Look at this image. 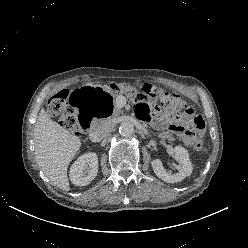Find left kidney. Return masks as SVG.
<instances>
[{
    "mask_svg": "<svg viewBox=\"0 0 248 248\" xmlns=\"http://www.w3.org/2000/svg\"><path fill=\"white\" fill-rule=\"evenodd\" d=\"M174 154L176 160H178L181 164V169L178 173L172 174L167 172L162 164V161L160 159H155L151 162L153 171L155 174L162 179L163 181L167 183H177L182 181L184 178L191 175L193 167L190 162L188 151L181 147L176 146L174 148Z\"/></svg>",
    "mask_w": 248,
    "mask_h": 248,
    "instance_id": "5707ae66",
    "label": "left kidney"
}]
</instances>
